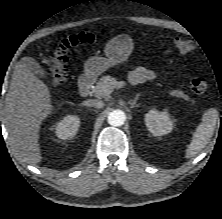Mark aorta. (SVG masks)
I'll list each match as a JSON object with an SVG mask.
<instances>
[{"label": "aorta", "mask_w": 222, "mask_h": 219, "mask_svg": "<svg viewBox=\"0 0 222 219\" xmlns=\"http://www.w3.org/2000/svg\"><path fill=\"white\" fill-rule=\"evenodd\" d=\"M126 120V115L122 110H114L108 115V123L112 126H122Z\"/></svg>", "instance_id": "aorta-1"}]
</instances>
